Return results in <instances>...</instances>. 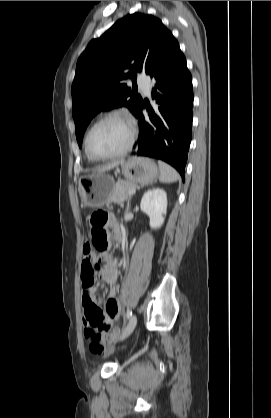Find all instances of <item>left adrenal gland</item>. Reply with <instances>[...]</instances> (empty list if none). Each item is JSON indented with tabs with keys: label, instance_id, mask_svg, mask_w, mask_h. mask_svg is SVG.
Instances as JSON below:
<instances>
[{
	"label": "left adrenal gland",
	"instance_id": "a2214340",
	"mask_svg": "<svg viewBox=\"0 0 271 418\" xmlns=\"http://www.w3.org/2000/svg\"><path fill=\"white\" fill-rule=\"evenodd\" d=\"M129 209H130V199L128 200V203H127L126 212H128Z\"/></svg>",
	"mask_w": 271,
	"mask_h": 418
}]
</instances>
